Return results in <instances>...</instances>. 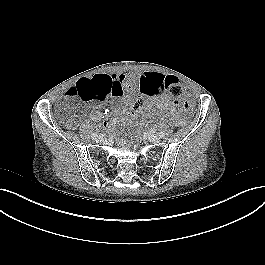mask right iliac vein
<instances>
[{
	"mask_svg": "<svg viewBox=\"0 0 265 265\" xmlns=\"http://www.w3.org/2000/svg\"><path fill=\"white\" fill-rule=\"evenodd\" d=\"M96 141H97V142H102V141H104L103 136H97Z\"/></svg>",
	"mask_w": 265,
	"mask_h": 265,
	"instance_id": "obj_1",
	"label": "right iliac vein"
}]
</instances>
